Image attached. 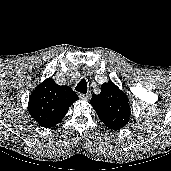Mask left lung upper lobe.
<instances>
[{
  "mask_svg": "<svg viewBox=\"0 0 171 171\" xmlns=\"http://www.w3.org/2000/svg\"><path fill=\"white\" fill-rule=\"evenodd\" d=\"M90 104L109 129L120 130L129 122L131 111L128 99L112 81L101 85V93L93 95Z\"/></svg>",
  "mask_w": 171,
  "mask_h": 171,
  "instance_id": "left-lung-upper-lobe-1",
  "label": "left lung upper lobe"
}]
</instances>
